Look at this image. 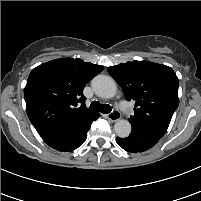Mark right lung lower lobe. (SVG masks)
Wrapping results in <instances>:
<instances>
[{
	"instance_id": "98d812e1",
	"label": "right lung lower lobe",
	"mask_w": 201,
	"mask_h": 201,
	"mask_svg": "<svg viewBox=\"0 0 201 201\" xmlns=\"http://www.w3.org/2000/svg\"><path fill=\"white\" fill-rule=\"evenodd\" d=\"M99 116L100 115H98L94 120H96ZM91 123L87 125L84 129L77 132L65 134H42L40 136L49 146L58 151H72L84 143L87 137V132L90 129Z\"/></svg>"
}]
</instances>
